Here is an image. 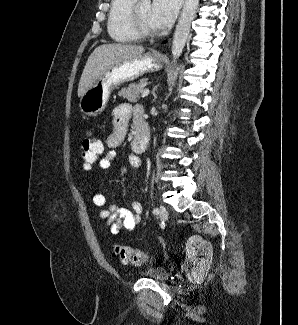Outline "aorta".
I'll list each match as a JSON object with an SVG mask.
<instances>
[{
    "label": "aorta",
    "instance_id": "aorta-1",
    "mask_svg": "<svg viewBox=\"0 0 298 325\" xmlns=\"http://www.w3.org/2000/svg\"><path fill=\"white\" fill-rule=\"evenodd\" d=\"M141 4H147L150 6L151 0H141ZM199 0H185L179 20L175 26L172 44H171V60L173 64L178 62L182 54V50L185 48L186 40L190 32V26L195 14L197 12V6Z\"/></svg>",
    "mask_w": 298,
    "mask_h": 325
}]
</instances>
